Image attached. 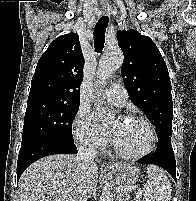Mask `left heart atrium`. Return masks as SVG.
<instances>
[{
	"label": "left heart atrium",
	"mask_w": 196,
	"mask_h": 201,
	"mask_svg": "<svg viewBox=\"0 0 196 201\" xmlns=\"http://www.w3.org/2000/svg\"><path fill=\"white\" fill-rule=\"evenodd\" d=\"M112 136H114V132L112 131Z\"/></svg>",
	"instance_id": "left-heart-atrium-1"
}]
</instances>
